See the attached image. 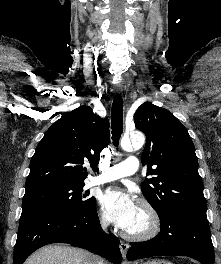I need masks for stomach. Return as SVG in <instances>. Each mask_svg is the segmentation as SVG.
Listing matches in <instances>:
<instances>
[{"label": "stomach", "mask_w": 221, "mask_h": 264, "mask_svg": "<svg viewBox=\"0 0 221 264\" xmlns=\"http://www.w3.org/2000/svg\"><path fill=\"white\" fill-rule=\"evenodd\" d=\"M143 264H173V263L166 260L154 259L151 261L144 262Z\"/></svg>", "instance_id": "1"}]
</instances>
